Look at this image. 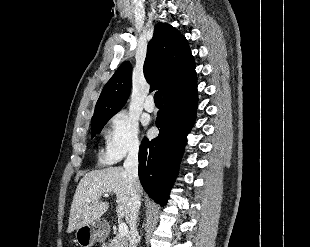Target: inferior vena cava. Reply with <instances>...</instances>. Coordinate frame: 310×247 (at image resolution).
I'll return each mask as SVG.
<instances>
[{"instance_id": "602c4592", "label": "inferior vena cava", "mask_w": 310, "mask_h": 247, "mask_svg": "<svg viewBox=\"0 0 310 247\" xmlns=\"http://www.w3.org/2000/svg\"><path fill=\"white\" fill-rule=\"evenodd\" d=\"M138 147L132 148L124 162L125 172L129 179L130 185V214L128 216V224L130 226L129 247H137L139 234L137 231V218L140 209V182L138 178Z\"/></svg>"}]
</instances>
